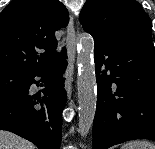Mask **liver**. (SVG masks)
Returning <instances> with one entry per match:
<instances>
[{
	"label": "liver",
	"mask_w": 155,
	"mask_h": 149,
	"mask_svg": "<svg viewBox=\"0 0 155 149\" xmlns=\"http://www.w3.org/2000/svg\"><path fill=\"white\" fill-rule=\"evenodd\" d=\"M0 149H35V146L11 132L0 130Z\"/></svg>",
	"instance_id": "1"
}]
</instances>
